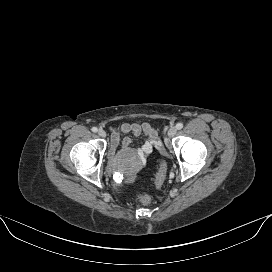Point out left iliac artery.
<instances>
[{
  "label": "left iliac artery",
  "mask_w": 272,
  "mask_h": 272,
  "mask_svg": "<svg viewBox=\"0 0 272 272\" xmlns=\"http://www.w3.org/2000/svg\"><path fill=\"white\" fill-rule=\"evenodd\" d=\"M176 128H177L178 130L182 129V128H183V124H182V123H177V124H176Z\"/></svg>",
  "instance_id": "left-iliac-artery-1"
}]
</instances>
